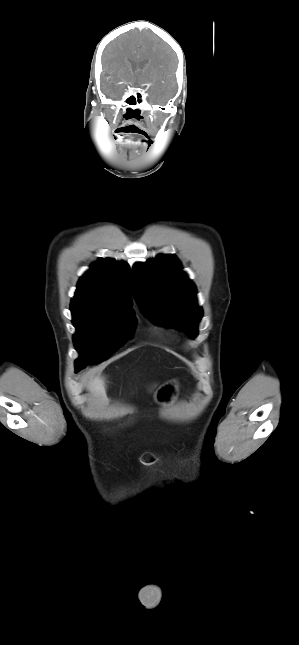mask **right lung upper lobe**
I'll use <instances>...</instances> for the list:
<instances>
[{
    "label": "right lung upper lobe",
    "mask_w": 299,
    "mask_h": 645,
    "mask_svg": "<svg viewBox=\"0 0 299 645\" xmlns=\"http://www.w3.org/2000/svg\"><path fill=\"white\" fill-rule=\"evenodd\" d=\"M130 268L124 262L100 258L79 280L71 308L128 310L133 313Z\"/></svg>",
    "instance_id": "obj_1"
}]
</instances>
